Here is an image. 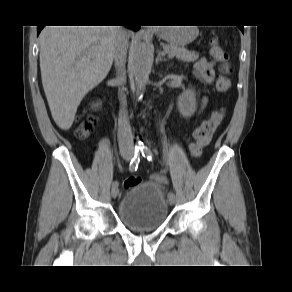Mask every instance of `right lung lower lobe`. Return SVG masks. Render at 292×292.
Segmentation results:
<instances>
[{
    "instance_id": "right-lung-lower-lobe-1",
    "label": "right lung lower lobe",
    "mask_w": 292,
    "mask_h": 292,
    "mask_svg": "<svg viewBox=\"0 0 292 292\" xmlns=\"http://www.w3.org/2000/svg\"><path fill=\"white\" fill-rule=\"evenodd\" d=\"M44 26H37V34L39 35L40 31L43 29ZM127 27L137 31L140 26L139 25H128Z\"/></svg>"
}]
</instances>
